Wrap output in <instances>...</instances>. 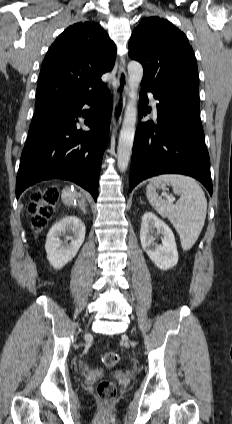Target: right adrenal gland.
<instances>
[{"mask_svg":"<svg viewBox=\"0 0 232 424\" xmlns=\"http://www.w3.org/2000/svg\"><path fill=\"white\" fill-rule=\"evenodd\" d=\"M86 206H87L86 201L84 200L83 197H81V195H79L78 207L84 214L87 213Z\"/></svg>","mask_w":232,"mask_h":424,"instance_id":"1","label":"right adrenal gland"}]
</instances>
